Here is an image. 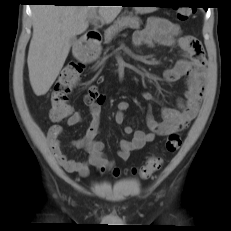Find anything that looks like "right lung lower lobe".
Returning a JSON list of instances; mask_svg holds the SVG:
<instances>
[{"mask_svg": "<svg viewBox=\"0 0 231 231\" xmlns=\"http://www.w3.org/2000/svg\"><path fill=\"white\" fill-rule=\"evenodd\" d=\"M29 2L38 3H54L55 5H80L79 3L72 2V0H29Z\"/></svg>", "mask_w": 231, "mask_h": 231, "instance_id": "98d812e1", "label": "right lung lower lobe"}]
</instances>
